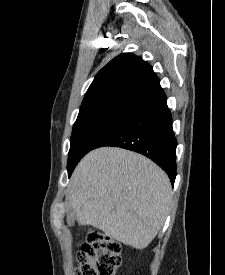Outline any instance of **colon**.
<instances>
[{"instance_id":"5ec220e1","label":"colon","mask_w":225,"mask_h":275,"mask_svg":"<svg viewBox=\"0 0 225 275\" xmlns=\"http://www.w3.org/2000/svg\"><path fill=\"white\" fill-rule=\"evenodd\" d=\"M76 261V275H114L121 263V245L101 231L89 230Z\"/></svg>"}]
</instances>
